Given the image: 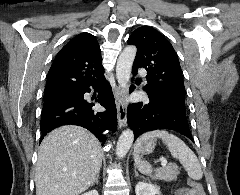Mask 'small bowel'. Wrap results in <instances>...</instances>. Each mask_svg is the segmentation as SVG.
<instances>
[{
    "instance_id": "small-bowel-1",
    "label": "small bowel",
    "mask_w": 240,
    "mask_h": 195,
    "mask_svg": "<svg viewBox=\"0 0 240 195\" xmlns=\"http://www.w3.org/2000/svg\"><path fill=\"white\" fill-rule=\"evenodd\" d=\"M189 188H198L199 192L189 193L188 192ZM174 195H205V193L203 192L202 186H187V187H183L175 190Z\"/></svg>"
}]
</instances>
